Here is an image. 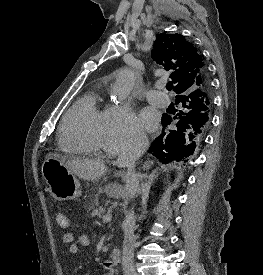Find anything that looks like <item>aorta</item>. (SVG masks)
Returning <instances> with one entry per match:
<instances>
[{"mask_svg":"<svg viewBox=\"0 0 263 275\" xmlns=\"http://www.w3.org/2000/svg\"><path fill=\"white\" fill-rule=\"evenodd\" d=\"M137 75L129 68L121 69L116 76L115 82L111 87V96L114 101L125 100L131 93Z\"/></svg>","mask_w":263,"mask_h":275,"instance_id":"762f6f07","label":"aorta"}]
</instances>
